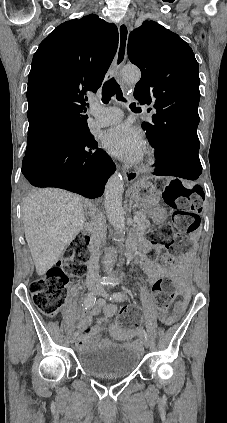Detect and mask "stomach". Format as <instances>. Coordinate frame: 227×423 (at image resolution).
<instances>
[{
	"label": "stomach",
	"instance_id": "1",
	"mask_svg": "<svg viewBox=\"0 0 227 423\" xmlns=\"http://www.w3.org/2000/svg\"><path fill=\"white\" fill-rule=\"evenodd\" d=\"M129 192L142 211L150 210V208L157 206L160 198V192L157 190L155 184L148 182L145 178L133 184Z\"/></svg>",
	"mask_w": 227,
	"mask_h": 423
}]
</instances>
